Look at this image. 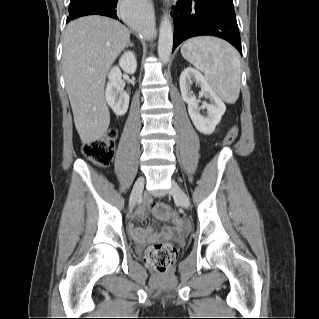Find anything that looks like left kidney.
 Returning a JSON list of instances; mask_svg holds the SVG:
<instances>
[{
	"label": "left kidney",
	"instance_id": "5707ae66",
	"mask_svg": "<svg viewBox=\"0 0 319 319\" xmlns=\"http://www.w3.org/2000/svg\"><path fill=\"white\" fill-rule=\"evenodd\" d=\"M201 88V95L210 100L203 102L202 107L207 109V115L200 113L199 103L192 90V82ZM180 90L183 100L188 104L189 116L198 131L203 134H212L226 111V106L212 90L203 75L192 67H187L180 75Z\"/></svg>",
	"mask_w": 319,
	"mask_h": 319
}]
</instances>
